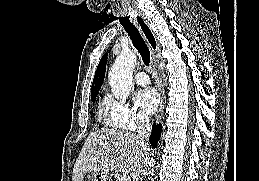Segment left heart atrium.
<instances>
[{"instance_id": "left-heart-atrium-1", "label": "left heart atrium", "mask_w": 259, "mask_h": 181, "mask_svg": "<svg viewBox=\"0 0 259 181\" xmlns=\"http://www.w3.org/2000/svg\"><path fill=\"white\" fill-rule=\"evenodd\" d=\"M135 103L144 114L151 115L160 104L159 93L150 87L142 89L135 95Z\"/></svg>"}]
</instances>
